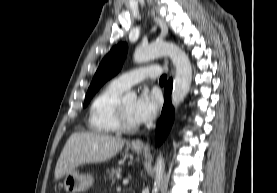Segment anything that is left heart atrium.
<instances>
[{
	"mask_svg": "<svg viewBox=\"0 0 277 193\" xmlns=\"http://www.w3.org/2000/svg\"><path fill=\"white\" fill-rule=\"evenodd\" d=\"M160 98L157 93L144 90L135 102L133 115L137 123L151 121L157 114Z\"/></svg>",
	"mask_w": 277,
	"mask_h": 193,
	"instance_id": "39dd6f15",
	"label": "left heart atrium"
}]
</instances>
